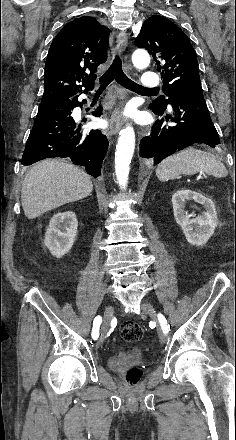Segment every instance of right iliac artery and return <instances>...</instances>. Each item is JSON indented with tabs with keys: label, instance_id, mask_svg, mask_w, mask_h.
I'll return each instance as SVG.
<instances>
[{
	"label": "right iliac artery",
	"instance_id": "obj_1",
	"mask_svg": "<svg viewBox=\"0 0 236 440\" xmlns=\"http://www.w3.org/2000/svg\"><path fill=\"white\" fill-rule=\"evenodd\" d=\"M101 322H102L101 316L95 317L94 322H93V329H92V338L93 339H97L99 336V327L101 325Z\"/></svg>",
	"mask_w": 236,
	"mask_h": 440
}]
</instances>
